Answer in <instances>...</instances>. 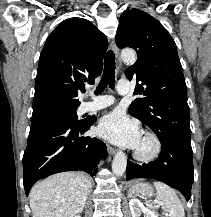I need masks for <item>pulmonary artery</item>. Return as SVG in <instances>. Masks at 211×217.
<instances>
[{
    "mask_svg": "<svg viewBox=\"0 0 211 217\" xmlns=\"http://www.w3.org/2000/svg\"><path fill=\"white\" fill-rule=\"evenodd\" d=\"M131 85L129 80L120 79L117 84V91L120 95H127L130 93ZM92 100L85 102L81 105L82 112H93L103 108H106L113 104L114 99L112 96H91Z\"/></svg>",
    "mask_w": 211,
    "mask_h": 217,
    "instance_id": "obj_1",
    "label": "pulmonary artery"
}]
</instances>
